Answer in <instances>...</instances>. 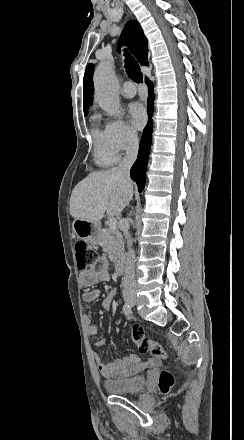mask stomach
I'll return each instance as SVG.
<instances>
[{
  "label": "stomach",
  "mask_w": 244,
  "mask_h": 440,
  "mask_svg": "<svg viewBox=\"0 0 244 440\" xmlns=\"http://www.w3.org/2000/svg\"><path fill=\"white\" fill-rule=\"evenodd\" d=\"M73 234L79 238V240H84L87 244L95 246L99 240L101 226L99 222H89V220H79L76 218L72 224Z\"/></svg>",
  "instance_id": "0dacf381"
}]
</instances>
